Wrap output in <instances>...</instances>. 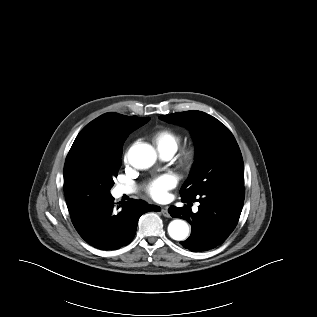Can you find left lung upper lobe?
<instances>
[{"label": "left lung upper lobe", "instance_id": "5c2ea615", "mask_svg": "<svg viewBox=\"0 0 317 317\" xmlns=\"http://www.w3.org/2000/svg\"><path fill=\"white\" fill-rule=\"evenodd\" d=\"M190 129L196 146L191 173L182 186V198L196 197L217 186L244 187V163L239 146L219 120L201 111L160 116Z\"/></svg>", "mask_w": 317, "mask_h": 317}]
</instances>
